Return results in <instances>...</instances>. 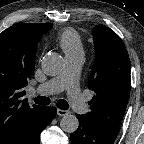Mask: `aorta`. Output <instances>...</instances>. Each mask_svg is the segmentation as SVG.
<instances>
[{"instance_id":"obj_1","label":"aorta","mask_w":144,"mask_h":144,"mask_svg":"<svg viewBox=\"0 0 144 144\" xmlns=\"http://www.w3.org/2000/svg\"><path fill=\"white\" fill-rule=\"evenodd\" d=\"M42 70L45 74L55 76L63 69V58L58 53H48L42 59ZM79 121L73 114H66L60 121V127L64 132L73 133L78 129Z\"/></svg>"}]
</instances>
